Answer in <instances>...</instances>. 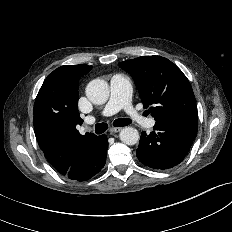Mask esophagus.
<instances>
[{"label": "esophagus", "instance_id": "esophagus-1", "mask_svg": "<svg viewBox=\"0 0 232 232\" xmlns=\"http://www.w3.org/2000/svg\"><path fill=\"white\" fill-rule=\"evenodd\" d=\"M122 130L121 127H113V128H110L109 132L110 134H114V133H118Z\"/></svg>", "mask_w": 232, "mask_h": 232}]
</instances>
